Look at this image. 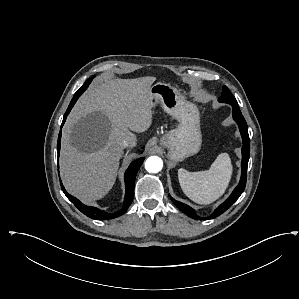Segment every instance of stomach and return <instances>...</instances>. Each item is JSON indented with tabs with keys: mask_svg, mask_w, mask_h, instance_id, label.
Returning a JSON list of instances; mask_svg holds the SVG:
<instances>
[{
	"mask_svg": "<svg viewBox=\"0 0 299 299\" xmlns=\"http://www.w3.org/2000/svg\"><path fill=\"white\" fill-rule=\"evenodd\" d=\"M150 92L153 108L160 104L166 113L179 122L177 128L160 139V145L168 150L169 159L180 162L198 153L202 135L197 106L185 100L179 90L170 84L158 82L151 86Z\"/></svg>",
	"mask_w": 299,
	"mask_h": 299,
	"instance_id": "obj_1",
	"label": "stomach"
}]
</instances>
